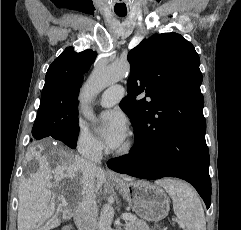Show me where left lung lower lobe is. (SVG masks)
<instances>
[{
	"label": "left lung lower lobe",
	"mask_w": 241,
	"mask_h": 230,
	"mask_svg": "<svg viewBox=\"0 0 241 230\" xmlns=\"http://www.w3.org/2000/svg\"><path fill=\"white\" fill-rule=\"evenodd\" d=\"M135 134L128 155L107 162L110 169L144 179L177 177L191 183L207 208L211 203L209 150L205 134L173 131L158 141Z\"/></svg>",
	"instance_id": "left-lung-lower-lobe-1"
}]
</instances>
